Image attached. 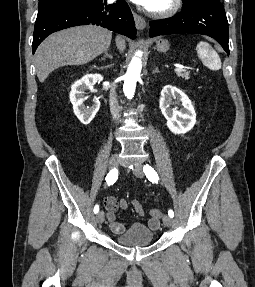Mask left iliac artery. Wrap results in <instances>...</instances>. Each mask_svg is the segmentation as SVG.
<instances>
[{
    "mask_svg": "<svg viewBox=\"0 0 255 287\" xmlns=\"http://www.w3.org/2000/svg\"><path fill=\"white\" fill-rule=\"evenodd\" d=\"M143 171L146 175V177L151 181L152 183H158L159 177L156 171L148 164L144 165ZM168 215L172 218L174 216V212L170 209L168 211Z\"/></svg>",
    "mask_w": 255,
    "mask_h": 287,
    "instance_id": "1",
    "label": "left iliac artery"
}]
</instances>
